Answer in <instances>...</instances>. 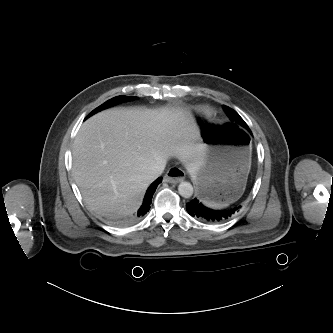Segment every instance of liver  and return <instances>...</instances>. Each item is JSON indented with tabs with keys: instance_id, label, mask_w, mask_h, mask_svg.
<instances>
[{
	"instance_id": "obj_1",
	"label": "liver",
	"mask_w": 333,
	"mask_h": 333,
	"mask_svg": "<svg viewBox=\"0 0 333 333\" xmlns=\"http://www.w3.org/2000/svg\"><path fill=\"white\" fill-rule=\"evenodd\" d=\"M182 112L169 109H111L83 123L72 150L73 176L88 207L116 219L136 212L152 182L147 169L178 155L194 177L203 144L189 140Z\"/></svg>"
}]
</instances>
